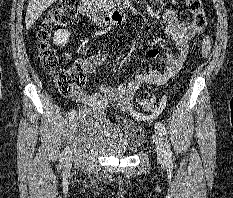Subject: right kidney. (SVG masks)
Masks as SVG:
<instances>
[{"label":"right kidney","instance_id":"obj_1","mask_svg":"<svg viewBox=\"0 0 233 198\" xmlns=\"http://www.w3.org/2000/svg\"><path fill=\"white\" fill-rule=\"evenodd\" d=\"M70 32L66 30H58L54 33L53 42L57 46H64L69 40Z\"/></svg>","mask_w":233,"mask_h":198}]
</instances>
